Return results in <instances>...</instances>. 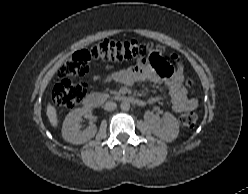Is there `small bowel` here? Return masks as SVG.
Returning <instances> with one entry per match:
<instances>
[{
	"instance_id": "obj_1",
	"label": "small bowel",
	"mask_w": 248,
	"mask_h": 194,
	"mask_svg": "<svg viewBox=\"0 0 248 194\" xmlns=\"http://www.w3.org/2000/svg\"><path fill=\"white\" fill-rule=\"evenodd\" d=\"M112 78L127 85L140 81L163 85L167 89L172 108L177 113L194 110L198 104L196 98L188 96L181 70L173 73L171 66L165 60H163L162 65L157 67L150 58L141 59L136 66L118 71L112 75ZM161 99V96H154L150 99V103H155Z\"/></svg>"
}]
</instances>
